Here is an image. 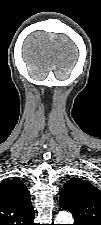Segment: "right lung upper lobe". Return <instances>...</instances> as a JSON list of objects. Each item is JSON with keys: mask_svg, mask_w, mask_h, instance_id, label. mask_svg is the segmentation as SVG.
Segmentation results:
<instances>
[{"mask_svg": "<svg viewBox=\"0 0 101 225\" xmlns=\"http://www.w3.org/2000/svg\"><path fill=\"white\" fill-rule=\"evenodd\" d=\"M0 225H35L29 191L20 179L0 184Z\"/></svg>", "mask_w": 101, "mask_h": 225, "instance_id": "obj_1", "label": "right lung upper lobe"}]
</instances>
